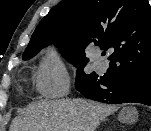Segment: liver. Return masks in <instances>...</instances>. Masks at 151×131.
<instances>
[{
    "mask_svg": "<svg viewBox=\"0 0 151 131\" xmlns=\"http://www.w3.org/2000/svg\"><path fill=\"white\" fill-rule=\"evenodd\" d=\"M116 108L82 98L39 101L30 105L23 117L15 118L10 131H95ZM136 109L126 111L124 121L135 122Z\"/></svg>",
    "mask_w": 151,
    "mask_h": 131,
    "instance_id": "1",
    "label": "liver"
}]
</instances>
